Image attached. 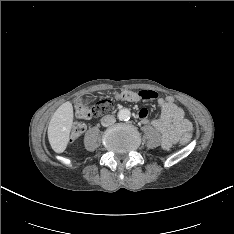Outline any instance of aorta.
<instances>
[{
  "instance_id": "obj_1",
  "label": "aorta",
  "mask_w": 234,
  "mask_h": 234,
  "mask_svg": "<svg viewBox=\"0 0 234 234\" xmlns=\"http://www.w3.org/2000/svg\"><path fill=\"white\" fill-rule=\"evenodd\" d=\"M130 116H131V112L130 110L128 109H121L119 112H118V118L120 120H129L130 119Z\"/></svg>"
}]
</instances>
